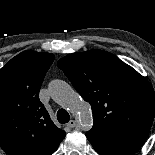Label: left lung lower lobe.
Instances as JSON below:
<instances>
[{
	"label": "left lung lower lobe",
	"instance_id": "1",
	"mask_svg": "<svg viewBox=\"0 0 155 155\" xmlns=\"http://www.w3.org/2000/svg\"><path fill=\"white\" fill-rule=\"evenodd\" d=\"M149 132L147 127L104 133L89 131L86 137L101 155H133L142 147Z\"/></svg>",
	"mask_w": 155,
	"mask_h": 155
}]
</instances>
